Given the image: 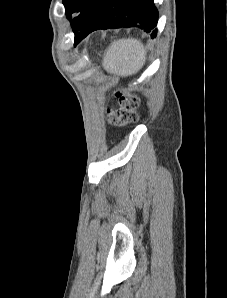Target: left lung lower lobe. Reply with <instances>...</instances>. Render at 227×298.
Wrapping results in <instances>:
<instances>
[{"label":"left lung lower lobe","instance_id":"obj_1","mask_svg":"<svg viewBox=\"0 0 227 298\" xmlns=\"http://www.w3.org/2000/svg\"><path fill=\"white\" fill-rule=\"evenodd\" d=\"M158 11L153 0H107L92 31L98 29L138 27L154 38ZM91 31V32H92ZM78 42L75 40L74 45Z\"/></svg>","mask_w":227,"mask_h":298}]
</instances>
